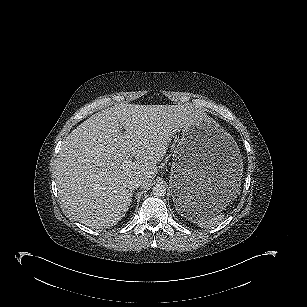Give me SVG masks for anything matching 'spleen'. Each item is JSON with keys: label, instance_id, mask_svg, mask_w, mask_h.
I'll return each instance as SVG.
<instances>
[{"label": "spleen", "instance_id": "spleen-1", "mask_svg": "<svg viewBox=\"0 0 307 307\" xmlns=\"http://www.w3.org/2000/svg\"><path fill=\"white\" fill-rule=\"evenodd\" d=\"M220 211L216 213H209L200 210V212L197 213L192 220L202 228L212 227L223 220L224 214Z\"/></svg>", "mask_w": 307, "mask_h": 307}]
</instances>
